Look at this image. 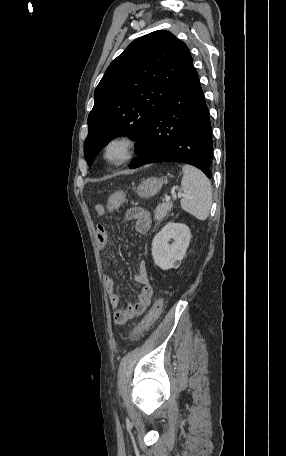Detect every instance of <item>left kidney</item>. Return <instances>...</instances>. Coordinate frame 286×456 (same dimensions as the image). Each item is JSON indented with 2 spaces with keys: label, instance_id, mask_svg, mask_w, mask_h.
<instances>
[{
  "label": "left kidney",
  "instance_id": "1",
  "mask_svg": "<svg viewBox=\"0 0 286 456\" xmlns=\"http://www.w3.org/2000/svg\"><path fill=\"white\" fill-rule=\"evenodd\" d=\"M173 239L174 242L169 244ZM191 239L188 226L182 223H168L152 241V256L155 265L163 270L178 268L186 254Z\"/></svg>",
  "mask_w": 286,
  "mask_h": 456
}]
</instances>
